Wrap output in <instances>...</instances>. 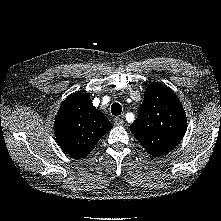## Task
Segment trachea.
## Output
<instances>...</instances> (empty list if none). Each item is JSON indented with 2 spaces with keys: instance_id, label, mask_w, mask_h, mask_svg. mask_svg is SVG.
Returning a JSON list of instances; mask_svg holds the SVG:
<instances>
[{
  "instance_id": "3493384b",
  "label": "trachea",
  "mask_w": 221,
  "mask_h": 221,
  "mask_svg": "<svg viewBox=\"0 0 221 221\" xmlns=\"http://www.w3.org/2000/svg\"><path fill=\"white\" fill-rule=\"evenodd\" d=\"M122 112V107L119 103H113L111 106V113L114 116L120 115Z\"/></svg>"
}]
</instances>
